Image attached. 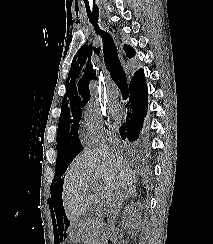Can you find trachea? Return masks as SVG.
<instances>
[{"instance_id":"obj_1","label":"trachea","mask_w":213,"mask_h":244,"mask_svg":"<svg viewBox=\"0 0 213 244\" xmlns=\"http://www.w3.org/2000/svg\"><path fill=\"white\" fill-rule=\"evenodd\" d=\"M88 15L93 18L95 24L98 20L99 10L97 7H93L92 10L87 9ZM96 32L102 37L104 62L107 70L109 71L111 78L116 83L120 91L128 93V84L126 75L122 69L118 53L115 47V43L112 37L105 31L99 29L96 25Z\"/></svg>"}]
</instances>
